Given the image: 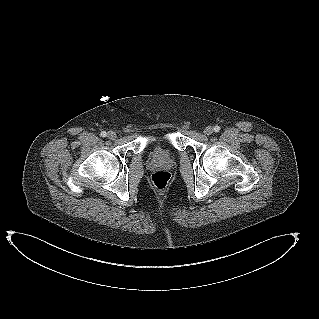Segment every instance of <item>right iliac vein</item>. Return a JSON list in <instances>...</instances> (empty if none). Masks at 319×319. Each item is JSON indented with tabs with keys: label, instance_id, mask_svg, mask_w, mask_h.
Returning <instances> with one entry per match:
<instances>
[{
	"label": "right iliac vein",
	"instance_id": "right-iliac-vein-1",
	"mask_svg": "<svg viewBox=\"0 0 319 319\" xmlns=\"http://www.w3.org/2000/svg\"><path fill=\"white\" fill-rule=\"evenodd\" d=\"M107 137L110 139V140H114L116 138V133L113 132V131H109L107 133Z\"/></svg>",
	"mask_w": 319,
	"mask_h": 319
}]
</instances>
